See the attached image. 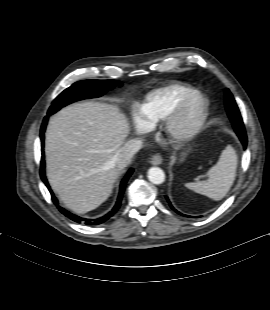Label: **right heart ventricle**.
<instances>
[{
	"instance_id": "e07e8e85",
	"label": "right heart ventricle",
	"mask_w": 270,
	"mask_h": 310,
	"mask_svg": "<svg viewBox=\"0 0 270 310\" xmlns=\"http://www.w3.org/2000/svg\"><path fill=\"white\" fill-rule=\"evenodd\" d=\"M192 87L182 83H169L149 91L138 106L139 118L152 128L163 122L174 104Z\"/></svg>"
}]
</instances>
